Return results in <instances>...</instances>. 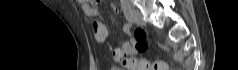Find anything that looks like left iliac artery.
I'll return each mask as SVG.
<instances>
[{
	"mask_svg": "<svg viewBox=\"0 0 238 70\" xmlns=\"http://www.w3.org/2000/svg\"><path fill=\"white\" fill-rule=\"evenodd\" d=\"M124 15L128 21H132V6L128 0L121 1Z\"/></svg>",
	"mask_w": 238,
	"mask_h": 70,
	"instance_id": "obj_1",
	"label": "left iliac artery"
}]
</instances>
